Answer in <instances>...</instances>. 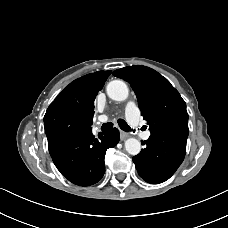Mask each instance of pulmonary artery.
<instances>
[{"label": "pulmonary artery", "mask_w": 228, "mask_h": 228, "mask_svg": "<svg viewBox=\"0 0 228 228\" xmlns=\"http://www.w3.org/2000/svg\"><path fill=\"white\" fill-rule=\"evenodd\" d=\"M125 112H126L127 120L130 123V125L133 128L138 129L139 122H140V112L136 103L133 101L128 102L126 105ZM139 135L143 140H148L151 136V132L150 130L143 131V132L139 131Z\"/></svg>", "instance_id": "1"}]
</instances>
